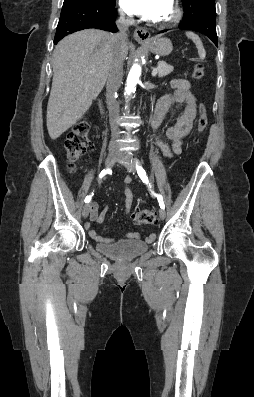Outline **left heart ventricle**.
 I'll return each instance as SVG.
<instances>
[{"instance_id":"1","label":"left heart ventricle","mask_w":254,"mask_h":397,"mask_svg":"<svg viewBox=\"0 0 254 397\" xmlns=\"http://www.w3.org/2000/svg\"><path fill=\"white\" fill-rule=\"evenodd\" d=\"M172 5L170 4L169 7L166 9V11L158 18L159 21H164L171 17L172 15Z\"/></svg>"}]
</instances>
